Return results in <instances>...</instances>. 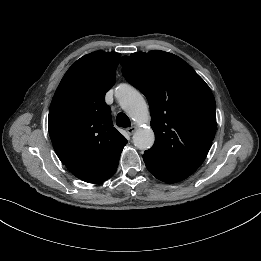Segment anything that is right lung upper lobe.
<instances>
[{
	"mask_svg": "<svg viewBox=\"0 0 261 261\" xmlns=\"http://www.w3.org/2000/svg\"><path fill=\"white\" fill-rule=\"evenodd\" d=\"M121 54L96 51L77 60L51 102L48 128L54 150L76 177L100 183L117 170L127 140L112 124L105 93L116 80Z\"/></svg>",
	"mask_w": 261,
	"mask_h": 261,
	"instance_id": "cb5924a9",
	"label": "right lung upper lobe"
}]
</instances>
